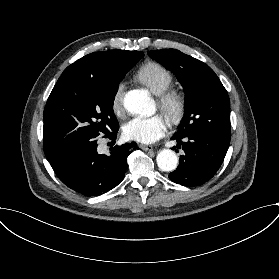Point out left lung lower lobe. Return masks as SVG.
Returning <instances> with one entry per match:
<instances>
[{
	"label": "left lung lower lobe",
	"mask_w": 279,
	"mask_h": 279,
	"mask_svg": "<svg viewBox=\"0 0 279 279\" xmlns=\"http://www.w3.org/2000/svg\"><path fill=\"white\" fill-rule=\"evenodd\" d=\"M231 136L200 131L184 137L174 135L177 147L185 154L180 156L178 168L169 174L171 181L183 186L202 185L220 168L229 147ZM175 148V147H174Z\"/></svg>",
	"instance_id": "left-lung-lower-lobe-1"
}]
</instances>
